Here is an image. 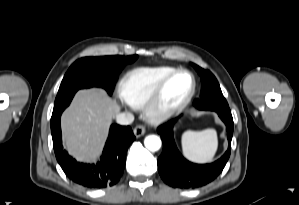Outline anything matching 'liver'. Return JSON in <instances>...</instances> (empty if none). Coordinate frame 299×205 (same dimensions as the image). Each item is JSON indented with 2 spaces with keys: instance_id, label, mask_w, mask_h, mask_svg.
Instances as JSON below:
<instances>
[{
  "instance_id": "obj_1",
  "label": "liver",
  "mask_w": 299,
  "mask_h": 205,
  "mask_svg": "<svg viewBox=\"0 0 299 205\" xmlns=\"http://www.w3.org/2000/svg\"><path fill=\"white\" fill-rule=\"evenodd\" d=\"M119 110L117 102L102 89L78 91L61 118L68 152L79 161H94L101 153L111 119Z\"/></svg>"
}]
</instances>
